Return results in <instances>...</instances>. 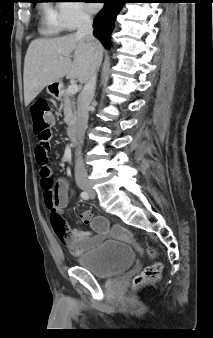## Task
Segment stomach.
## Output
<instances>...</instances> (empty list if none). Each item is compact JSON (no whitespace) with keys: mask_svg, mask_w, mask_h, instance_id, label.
<instances>
[{"mask_svg":"<svg viewBox=\"0 0 213 338\" xmlns=\"http://www.w3.org/2000/svg\"><path fill=\"white\" fill-rule=\"evenodd\" d=\"M61 89V83L55 82L47 86V92L53 96L57 95Z\"/></svg>","mask_w":213,"mask_h":338,"instance_id":"stomach-1","label":"stomach"}]
</instances>
